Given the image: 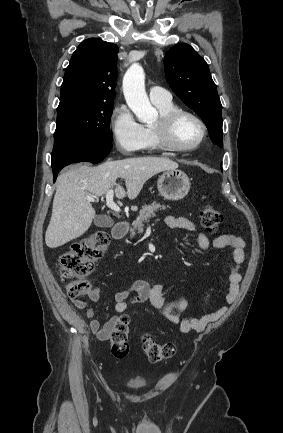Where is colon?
Listing matches in <instances>:
<instances>
[{"mask_svg":"<svg viewBox=\"0 0 283 433\" xmlns=\"http://www.w3.org/2000/svg\"><path fill=\"white\" fill-rule=\"evenodd\" d=\"M200 221L205 230L217 233L223 223V216L213 205L205 204L200 210ZM108 244V234L98 231L73 244L60 256V273L65 278L73 279L66 288L71 299H79L89 293L91 284L84 278L93 271L95 262L104 255ZM129 326V316L121 315L110 335L111 352L117 358H123L129 352ZM141 343L151 362L168 359L177 350L176 342L157 343L148 334L142 337Z\"/></svg>","mask_w":283,"mask_h":433,"instance_id":"1","label":"colon"}]
</instances>
